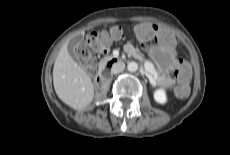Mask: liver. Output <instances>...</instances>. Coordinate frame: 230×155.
<instances>
[{"label": "liver", "instance_id": "obj_1", "mask_svg": "<svg viewBox=\"0 0 230 155\" xmlns=\"http://www.w3.org/2000/svg\"><path fill=\"white\" fill-rule=\"evenodd\" d=\"M68 43L63 44L54 62V89L65 104L82 110L94 99V86L90 76L70 56Z\"/></svg>", "mask_w": 230, "mask_h": 155}]
</instances>
